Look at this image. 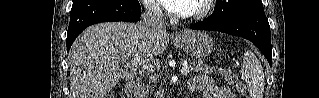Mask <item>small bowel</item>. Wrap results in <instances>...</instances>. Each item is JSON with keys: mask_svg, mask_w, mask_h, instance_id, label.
Returning <instances> with one entry per match:
<instances>
[{"mask_svg": "<svg viewBox=\"0 0 319 98\" xmlns=\"http://www.w3.org/2000/svg\"><path fill=\"white\" fill-rule=\"evenodd\" d=\"M190 85L193 89H203L205 98H234L228 87L212 84L211 81L204 76L192 78Z\"/></svg>", "mask_w": 319, "mask_h": 98, "instance_id": "c3829d8e", "label": "small bowel"}]
</instances>
